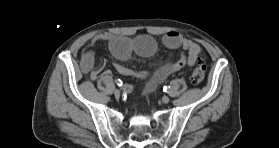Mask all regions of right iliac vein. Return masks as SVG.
Masks as SVG:
<instances>
[{"mask_svg": "<svg viewBox=\"0 0 279 148\" xmlns=\"http://www.w3.org/2000/svg\"><path fill=\"white\" fill-rule=\"evenodd\" d=\"M114 95H115V97H120V95H121V91L119 90V89H116V90H114Z\"/></svg>", "mask_w": 279, "mask_h": 148, "instance_id": "obj_1", "label": "right iliac vein"}]
</instances>
